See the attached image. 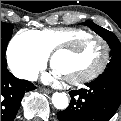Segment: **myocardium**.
<instances>
[{"label":"myocardium","mask_w":121,"mask_h":121,"mask_svg":"<svg viewBox=\"0 0 121 121\" xmlns=\"http://www.w3.org/2000/svg\"><path fill=\"white\" fill-rule=\"evenodd\" d=\"M89 40H97L101 43L103 46V58L101 63L92 71L85 73L83 75L75 76V77H70V78H65V81L69 84H81L85 83L87 81H90L100 75L104 69L107 67V64L109 62V57H110V46L107 40L102 37L101 35L98 34H87L79 39H77L75 42L69 44V45H59L55 47L52 52L50 53L49 57V63L50 66L53 68V61L54 58L60 54V53H66L73 55L75 54V49L79 46L84 45L87 41Z\"/></svg>","instance_id":"obj_1"}]
</instances>
